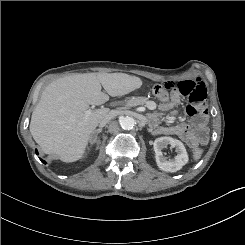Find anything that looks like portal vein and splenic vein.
Returning a JSON list of instances; mask_svg holds the SVG:
<instances>
[{"mask_svg": "<svg viewBox=\"0 0 245 245\" xmlns=\"http://www.w3.org/2000/svg\"><path fill=\"white\" fill-rule=\"evenodd\" d=\"M90 114H91V110H87L86 113H85L86 117H87L88 115H90Z\"/></svg>", "mask_w": 245, "mask_h": 245, "instance_id": "18ae733b", "label": "portal vein and splenic vein"}]
</instances>
